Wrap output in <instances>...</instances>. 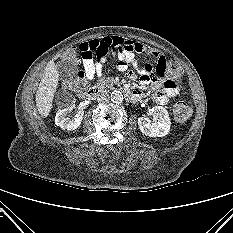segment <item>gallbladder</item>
I'll list each match as a JSON object with an SVG mask.
<instances>
[{
  "mask_svg": "<svg viewBox=\"0 0 233 233\" xmlns=\"http://www.w3.org/2000/svg\"><path fill=\"white\" fill-rule=\"evenodd\" d=\"M57 71L61 79H73L77 76L78 69L75 64L69 60H61L56 64Z\"/></svg>",
  "mask_w": 233,
  "mask_h": 233,
  "instance_id": "obj_1",
  "label": "gallbladder"
}]
</instances>
